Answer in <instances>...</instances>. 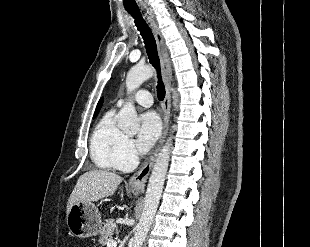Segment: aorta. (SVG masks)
<instances>
[{
	"mask_svg": "<svg viewBox=\"0 0 310 247\" xmlns=\"http://www.w3.org/2000/svg\"><path fill=\"white\" fill-rule=\"evenodd\" d=\"M153 75L154 70L149 66L132 67L126 77L127 94H131ZM173 92L174 106L177 107L178 94L174 90ZM117 123L118 127L125 132L136 133L139 130L140 121L131 101H127L120 110ZM171 146L172 136L170 135L158 154L148 181L144 207L136 226L133 247H142L157 211L169 166Z\"/></svg>",
	"mask_w": 310,
	"mask_h": 247,
	"instance_id": "1",
	"label": "aorta"
}]
</instances>
